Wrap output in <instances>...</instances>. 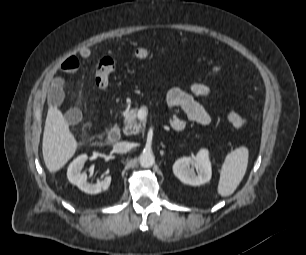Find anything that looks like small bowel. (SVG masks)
I'll use <instances>...</instances> for the list:
<instances>
[{"label":"small bowel","mask_w":306,"mask_h":255,"mask_svg":"<svg viewBox=\"0 0 306 255\" xmlns=\"http://www.w3.org/2000/svg\"><path fill=\"white\" fill-rule=\"evenodd\" d=\"M82 58H89L91 52L89 49H82L80 51ZM80 66L79 60L72 55L65 58L60 64L59 70L66 74L74 73ZM47 85L49 88V101L53 106H59L64 97L63 93V78L56 72L51 73L47 78ZM212 94V89L209 85L202 82H193L187 89L172 88L166 96L167 107L171 112L169 118L170 126L176 130L181 131L185 128V121L176 113V109H181L189 120L208 126L212 123V116L207 110L196 100V97H209ZM66 121L74 125L79 122L81 113L77 109H70L65 114Z\"/></svg>","instance_id":"small-bowel-1"}]
</instances>
